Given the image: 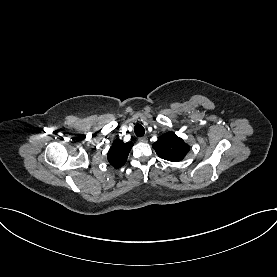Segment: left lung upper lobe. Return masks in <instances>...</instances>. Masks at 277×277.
Returning a JSON list of instances; mask_svg holds the SVG:
<instances>
[{
    "label": "left lung upper lobe",
    "mask_w": 277,
    "mask_h": 277,
    "mask_svg": "<svg viewBox=\"0 0 277 277\" xmlns=\"http://www.w3.org/2000/svg\"><path fill=\"white\" fill-rule=\"evenodd\" d=\"M153 148L159 157L172 161H181L189 152V146L173 132L163 134L153 144Z\"/></svg>",
    "instance_id": "obj_1"
}]
</instances>
